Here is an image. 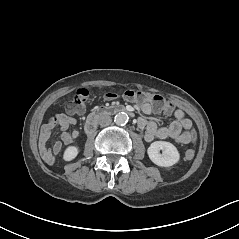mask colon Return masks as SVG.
<instances>
[{
	"instance_id": "1",
	"label": "colon",
	"mask_w": 239,
	"mask_h": 239,
	"mask_svg": "<svg viewBox=\"0 0 239 239\" xmlns=\"http://www.w3.org/2000/svg\"><path fill=\"white\" fill-rule=\"evenodd\" d=\"M90 96V92L86 88H80L76 91L71 102L67 105V112L69 114L81 113L85 108ZM107 98L112 99L117 97L115 93H107ZM124 97L130 101L138 103H150L155 110L158 111H172L173 105L158 94H151L143 91L128 90L124 93ZM195 140V134H192V141ZM195 152L193 149H188L185 153V160L191 161L194 158Z\"/></svg>"
}]
</instances>
